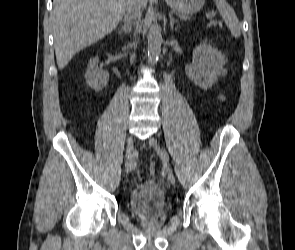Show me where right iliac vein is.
I'll list each match as a JSON object with an SVG mask.
<instances>
[{
  "label": "right iliac vein",
  "mask_w": 295,
  "mask_h": 250,
  "mask_svg": "<svg viewBox=\"0 0 295 250\" xmlns=\"http://www.w3.org/2000/svg\"><path fill=\"white\" fill-rule=\"evenodd\" d=\"M135 162V151L133 146V137L130 136L127 140L126 158H125V171L130 173L133 170Z\"/></svg>",
  "instance_id": "right-iliac-vein-1"
}]
</instances>
